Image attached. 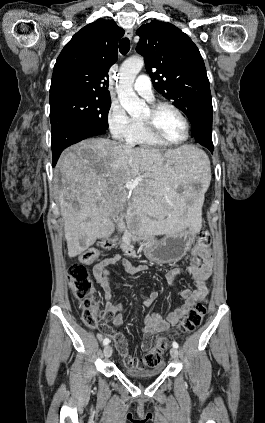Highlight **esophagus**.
I'll return each instance as SVG.
<instances>
[{
  "mask_svg": "<svg viewBox=\"0 0 265 423\" xmlns=\"http://www.w3.org/2000/svg\"><path fill=\"white\" fill-rule=\"evenodd\" d=\"M125 35H126L127 38L132 39L133 30L131 28L126 29Z\"/></svg>",
  "mask_w": 265,
  "mask_h": 423,
  "instance_id": "esophagus-1",
  "label": "esophagus"
}]
</instances>
